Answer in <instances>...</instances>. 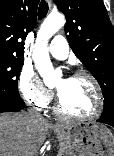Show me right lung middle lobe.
<instances>
[{
    "label": "right lung middle lobe",
    "instance_id": "1",
    "mask_svg": "<svg viewBox=\"0 0 114 156\" xmlns=\"http://www.w3.org/2000/svg\"><path fill=\"white\" fill-rule=\"evenodd\" d=\"M24 58L0 57V102L24 103L18 92V77Z\"/></svg>",
    "mask_w": 114,
    "mask_h": 156
}]
</instances>
